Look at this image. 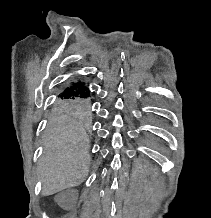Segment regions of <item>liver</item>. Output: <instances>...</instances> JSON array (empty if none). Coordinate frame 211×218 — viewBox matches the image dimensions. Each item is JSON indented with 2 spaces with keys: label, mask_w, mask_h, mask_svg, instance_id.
<instances>
[{
  "label": "liver",
  "mask_w": 211,
  "mask_h": 218,
  "mask_svg": "<svg viewBox=\"0 0 211 218\" xmlns=\"http://www.w3.org/2000/svg\"><path fill=\"white\" fill-rule=\"evenodd\" d=\"M89 140L73 116L63 114L51 122L40 164L43 194L51 196L84 182L88 172Z\"/></svg>",
  "instance_id": "1"
}]
</instances>
